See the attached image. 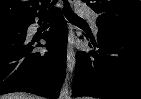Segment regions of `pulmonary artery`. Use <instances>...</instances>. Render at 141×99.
Segmentation results:
<instances>
[{"instance_id":"pulmonary-artery-1","label":"pulmonary artery","mask_w":141,"mask_h":99,"mask_svg":"<svg viewBox=\"0 0 141 99\" xmlns=\"http://www.w3.org/2000/svg\"><path fill=\"white\" fill-rule=\"evenodd\" d=\"M80 13L87 17L93 26V30L97 33L98 27H97V14L87 8H81Z\"/></svg>"}]
</instances>
